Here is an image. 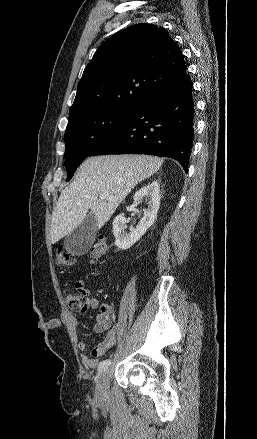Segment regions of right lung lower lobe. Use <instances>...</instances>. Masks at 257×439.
I'll list each match as a JSON object with an SVG mask.
<instances>
[{
	"label": "right lung lower lobe",
	"mask_w": 257,
	"mask_h": 439,
	"mask_svg": "<svg viewBox=\"0 0 257 439\" xmlns=\"http://www.w3.org/2000/svg\"><path fill=\"white\" fill-rule=\"evenodd\" d=\"M194 102L188 74L146 98L89 156L147 154L177 160L185 172L193 145Z\"/></svg>",
	"instance_id": "98d812e1"
}]
</instances>
